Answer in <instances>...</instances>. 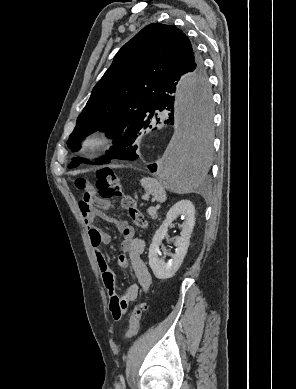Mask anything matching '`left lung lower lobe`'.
Listing matches in <instances>:
<instances>
[{"label":"left lung lower lobe","mask_w":296,"mask_h":389,"mask_svg":"<svg viewBox=\"0 0 296 389\" xmlns=\"http://www.w3.org/2000/svg\"><path fill=\"white\" fill-rule=\"evenodd\" d=\"M180 79L179 75L168 79L158 90L157 100L149 114L151 118L145 120L141 124L134 121L127 127L121 138L113 141V146L106 152L104 162L98 164H106L110 159L121 160H136L141 158L140 146L136 143L141 133L149 126L151 120L155 117V110L166 111L164 118H156L157 122L163 120L164 123L174 124L176 120V85ZM190 89L195 110L198 112V121L194 130L187 134V146L189 156L193 165V179L203 177L208 169L211 157V141L209 132L211 128V106L212 100L209 92V87L206 85L205 78L195 76L190 78ZM201 113V115H200ZM149 169L154 172L157 169L156 164L149 166Z\"/></svg>","instance_id":"0a47b994"}]
</instances>
